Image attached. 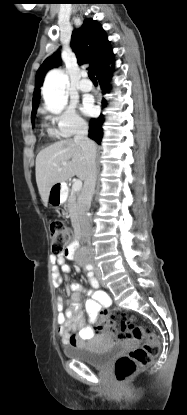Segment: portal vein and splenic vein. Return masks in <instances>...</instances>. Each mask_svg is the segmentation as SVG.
I'll return each mask as SVG.
<instances>
[{
  "mask_svg": "<svg viewBox=\"0 0 187 415\" xmlns=\"http://www.w3.org/2000/svg\"><path fill=\"white\" fill-rule=\"evenodd\" d=\"M63 165H66V162L63 163ZM82 188V181L81 180H75L72 185V191L78 192Z\"/></svg>",
  "mask_w": 187,
  "mask_h": 415,
  "instance_id": "obj_1",
  "label": "portal vein and splenic vein"
}]
</instances>
